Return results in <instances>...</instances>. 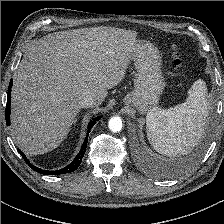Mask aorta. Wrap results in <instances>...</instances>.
Instances as JSON below:
<instances>
[{
    "label": "aorta",
    "mask_w": 224,
    "mask_h": 224,
    "mask_svg": "<svg viewBox=\"0 0 224 224\" xmlns=\"http://www.w3.org/2000/svg\"><path fill=\"white\" fill-rule=\"evenodd\" d=\"M109 129L112 132H119L122 129V120L120 117H112L109 120Z\"/></svg>",
    "instance_id": "aorta-1"
}]
</instances>
